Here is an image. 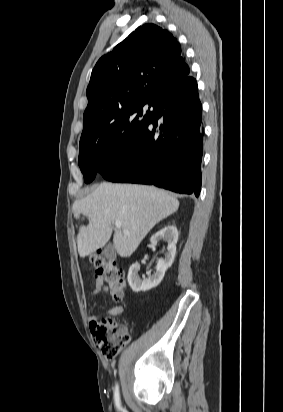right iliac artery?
I'll return each mask as SVG.
<instances>
[{
  "mask_svg": "<svg viewBox=\"0 0 283 412\" xmlns=\"http://www.w3.org/2000/svg\"><path fill=\"white\" fill-rule=\"evenodd\" d=\"M114 400H115V405H116V407H117L118 409H120V408H121V405H120V395H119L118 385H116V387H115Z\"/></svg>",
  "mask_w": 283,
  "mask_h": 412,
  "instance_id": "obj_1",
  "label": "right iliac artery"
}]
</instances>
